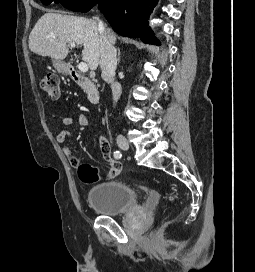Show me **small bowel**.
Masks as SVG:
<instances>
[{
  "instance_id": "small-bowel-1",
  "label": "small bowel",
  "mask_w": 255,
  "mask_h": 272,
  "mask_svg": "<svg viewBox=\"0 0 255 272\" xmlns=\"http://www.w3.org/2000/svg\"><path fill=\"white\" fill-rule=\"evenodd\" d=\"M61 122L64 125L65 129H63L57 134L56 140L58 144L61 146L64 153L66 154L70 164L73 166H78L80 160L77 154L70 147L67 146L66 141L71 135L70 128L73 127L74 125H77L80 128H84L88 124V117L85 113H80L77 116L76 121H74V119L70 116H64L62 117ZM98 143L104 159L111 164L110 171L103 177V179L104 180L113 179L119 174L121 170V163L118 160H115L116 158L114 159L112 157L111 155L112 147L107 138L103 136L99 137Z\"/></svg>"
}]
</instances>
